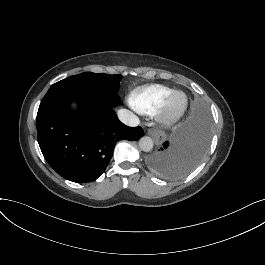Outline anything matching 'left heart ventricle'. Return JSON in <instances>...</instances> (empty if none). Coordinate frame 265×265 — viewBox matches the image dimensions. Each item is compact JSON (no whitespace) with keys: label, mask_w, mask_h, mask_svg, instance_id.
Instances as JSON below:
<instances>
[{"label":"left heart ventricle","mask_w":265,"mask_h":265,"mask_svg":"<svg viewBox=\"0 0 265 265\" xmlns=\"http://www.w3.org/2000/svg\"><path fill=\"white\" fill-rule=\"evenodd\" d=\"M182 102V99L181 98H177L176 101H175V106H179L180 103Z\"/></svg>","instance_id":"left-heart-ventricle-1"}]
</instances>
